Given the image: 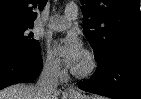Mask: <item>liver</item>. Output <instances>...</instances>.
<instances>
[{
    "label": "liver",
    "instance_id": "obj_1",
    "mask_svg": "<svg viewBox=\"0 0 141 99\" xmlns=\"http://www.w3.org/2000/svg\"><path fill=\"white\" fill-rule=\"evenodd\" d=\"M60 91L55 90L43 98L35 86L30 84H15L0 91V99H57Z\"/></svg>",
    "mask_w": 141,
    "mask_h": 99
}]
</instances>
